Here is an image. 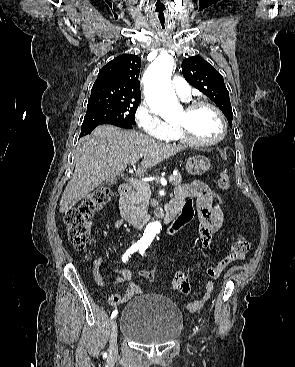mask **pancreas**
Returning a JSON list of instances; mask_svg holds the SVG:
<instances>
[{"label": "pancreas", "mask_w": 295, "mask_h": 367, "mask_svg": "<svg viewBox=\"0 0 295 367\" xmlns=\"http://www.w3.org/2000/svg\"><path fill=\"white\" fill-rule=\"evenodd\" d=\"M173 180L172 185L177 186L180 185L182 182V177L180 174L172 175ZM145 187H137L134 186L133 190L127 194L125 197V201L128 206L137 212H144L146 211L147 206L149 205L150 199V190L149 185L144 183Z\"/></svg>", "instance_id": "obj_1"}]
</instances>
